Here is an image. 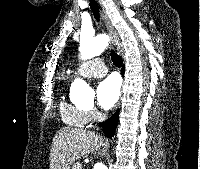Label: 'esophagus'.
<instances>
[{
  "label": "esophagus",
  "instance_id": "34e87169",
  "mask_svg": "<svg viewBox=\"0 0 200 169\" xmlns=\"http://www.w3.org/2000/svg\"><path fill=\"white\" fill-rule=\"evenodd\" d=\"M99 2V5H100V8H101V15H102V18L105 22V25L107 27V30L109 31L110 35H111V42L112 44L115 46V47H119V38H118V35L113 27V25L111 24V21L108 17V15L106 14V11L104 9V6L102 5L101 1L98 0Z\"/></svg>",
  "mask_w": 200,
  "mask_h": 169
}]
</instances>
